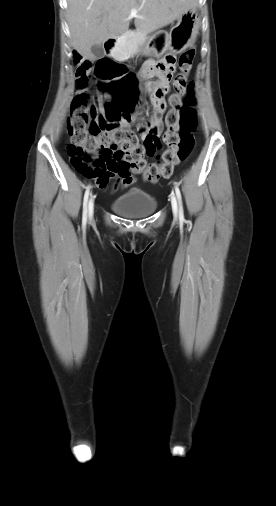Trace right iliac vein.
<instances>
[{"instance_id":"right-iliac-vein-1","label":"right iliac vein","mask_w":276,"mask_h":506,"mask_svg":"<svg viewBox=\"0 0 276 506\" xmlns=\"http://www.w3.org/2000/svg\"><path fill=\"white\" fill-rule=\"evenodd\" d=\"M94 213V197L91 196L88 204V216L91 219Z\"/></svg>"}]
</instances>
